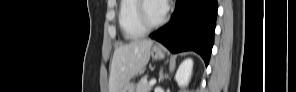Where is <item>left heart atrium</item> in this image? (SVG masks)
Listing matches in <instances>:
<instances>
[{"label": "left heart atrium", "instance_id": "1", "mask_svg": "<svg viewBox=\"0 0 296 92\" xmlns=\"http://www.w3.org/2000/svg\"><path fill=\"white\" fill-rule=\"evenodd\" d=\"M157 3L159 5L160 12L164 15L167 12V9H168L167 1H161V2H157Z\"/></svg>", "mask_w": 296, "mask_h": 92}]
</instances>
